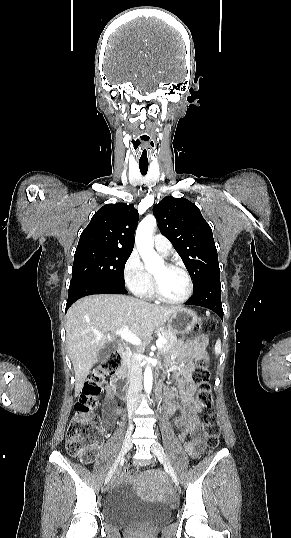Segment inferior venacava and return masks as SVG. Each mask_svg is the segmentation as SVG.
<instances>
[{
    "instance_id": "602c4592",
    "label": "inferior vena cava",
    "mask_w": 291,
    "mask_h": 538,
    "mask_svg": "<svg viewBox=\"0 0 291 538\" xmlns=\"http://www.w3.org/2000/svg\"><path fill=\"white\" fill-rule=\"evenodd\" d=\"M141 370L138 366H135L131 371L130 385L127 395V410L129 417L135 411L139 403V394L141 392Z\"/></svg>"
}]
</instances>
